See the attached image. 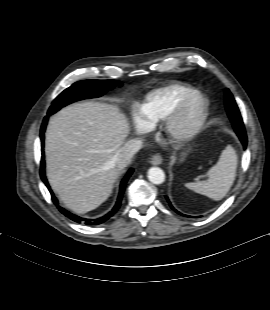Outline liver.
<instances>
[{
	"label": "liver",
	"mask_w": 270,
	"mask_h": 310,
	"mask_svg": "<svg viewBox=\"0 0 270 310\" xmlns=\"http://www.w3.org/2000/svg\"><path fill=\"white\" fill-rule=\"evenodd\" d=\"M129 132L126 116L107 103H75L51 117L47 178L68 209L83 214L107 200L119 173L112 158Z\"/></svg>",
	"instance_id": "liver-1"
}]
</instances>
